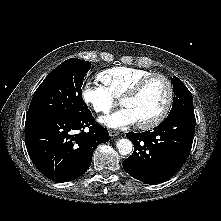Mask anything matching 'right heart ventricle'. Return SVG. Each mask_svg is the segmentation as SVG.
Here are the masks:
<instances>
[{"mask_svg": "<svg viewBox=\"0 0 221 221\" xmlns=\"http://www.w3.org/2000/svg\"><path fill=\"white\" fill-rule=\"evenodd\" d=\"M151 74L150 71L135 67H113L98 74V80L113 97L120 99L142 77Z\"/></svg>", "mask_w": 221, "mask_h": 221, "instance_id": "e07e8e85", "label": "right heart ventricle"}]
</instances>
